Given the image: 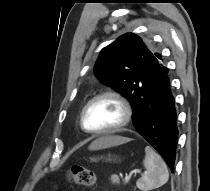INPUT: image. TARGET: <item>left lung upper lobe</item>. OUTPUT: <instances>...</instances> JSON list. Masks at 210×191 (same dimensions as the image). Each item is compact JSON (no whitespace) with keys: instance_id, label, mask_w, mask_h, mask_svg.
I'll return each instance as SVG.
<instances>
[{"instance_id":"1","label":"left lung upper lobe","mask_w":210,"mask_h":191,"mask_svg":"<svg viewBox=\"0 0 210 191\" xmlns=\"http://www.w3.org/2000/svg\"><path fill=\"white\" fill-rule=\"evenodd\" d=\"M163 66L161 55L147 42L126 33L101 50L94 70L101 82L130 101L135 119L139 102L156 85V72Z\"/></svg>"}]
</instances>
